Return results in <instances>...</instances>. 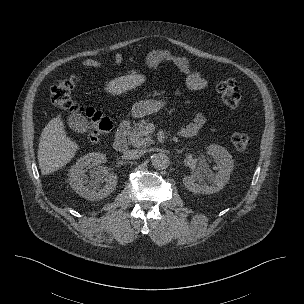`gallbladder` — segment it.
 <instances>
[{
	"label": "gallbladder",
	"mask_w": 304,
	"mask_h": 304,
	"mask_svg": "<svg viewBox=\"0 0 304 304\" xmlns=\"http://www.w3.org/2000/svg\"><path fill=\"white\" fill-rule=\"evenodd\" d=\"M67 123L70 129L77 133H84L88 128V121L86 117L79 113L71 114L67 119Z\"/></svg>",
	"instance_id": "obj_1"
}]
</instances>
